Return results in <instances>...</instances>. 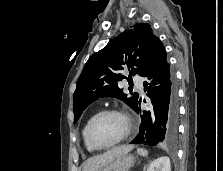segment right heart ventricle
<instances>
[{"instance_id":"obj_1","label":"right heart ventricle","mask_w":223,"mask_h":171,"mask_svg":"<svg viewBox=\"0 0 223 171\" xmlns=\"http://www.w3.org/2000/svg\"><path fill=\"white\" fill-rule=\"evenodd\" d=\"M93 116H94V114L90 115V116L86 119V121H85V123H84V125H83V128H82V132H81V133H82L83 142H84V146H85V148H86L89 152H94V151H95V149L88 143L87 138H86V127H87L88 122L90 121V119H91Z\"/></svg>"}]
</instances>
